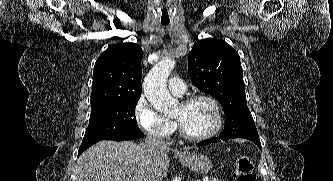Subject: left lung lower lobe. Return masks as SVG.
<instances>
[{
	"instance_id": "obj_1",
	"label": "left lung lower lobe",
	"mask_w": 333,
	"mask_h": 181,
	"mask_svg": "<svg viewBox=\"0 0 333 181\" xmlns=\"http://www.w3.org/2000/svg\"><path fill=\"white\" fill-rule=\"evenodd\" d=\"M232 138H237V137H233L231 135H229L228 133H224V130L222 131V133L219 135V138H212L206 141H202L198 144H196L197 146H202V145H206V144H210V143H215V142H219V141H225L228 139H232ZM253 142V141H252ZM260 149H261V143L260 142H254Z\"/></svg>"
}]
</instances>
